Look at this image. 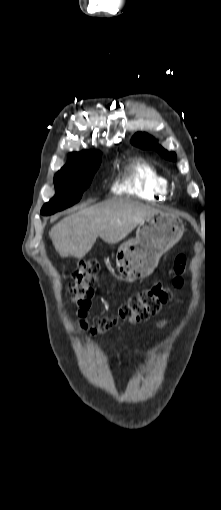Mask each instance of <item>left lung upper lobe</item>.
<instances>
[{
	"mask_svg": "<svg viewBox=\"0 0 221 510\" xmlns=\"http://www.w3.org/2000/svg\"><path fill=\"white\" fill-rule=\"evenodd\" d=\"M131 143L142 149H153L155 148L164 158L169 160H176V154L174 152L169 153L161 146L157 145L156 140L146 133H137L133 136Z\"/></svg>",
	"mask_w": 221,
	"mask_h": 510,
	"instance_id": "left-lung-upper-lobe-1",
	"label": "left lung upper lobe"
}]
</instances>
